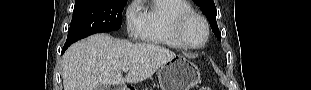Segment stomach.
Listing matches in <instances>:
<instances>
[{
	"mask_svg": "<svg viewBox=\"0 0 311 90\" xmlns=\"http://www.w3.org/2000/svg\"><path fill=\"white\" fill-rule=\"evenodd\" d=\"M158 80L160 90H190L200 83V73L195 64L177 56L161 66Z\"/></svg>",
	"mask_w": 311,
	"mask_h": 90,
	"instance_id": "0dacf381",
	"label": "stomach"
}]
</instances>
